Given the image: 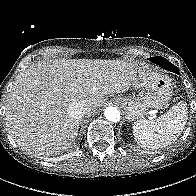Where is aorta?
Masks as SVG:
<instances>
[{
	"label": "aorta",
	"instance_id": "1",
	"mask_svg": "<svg viewBox=\"0 0 196 196\" xmlns=\"http://www.w3.org/2000/svg\"><path fill=\"white\" fill-rule=\"evenodd\" d=\"M104 116L111 122H118L120 120V112L116 107L109 106L104 111Z\"/></svg>",
	"mask_w": 196,
	"mask_h": 196
}]
</instances>
